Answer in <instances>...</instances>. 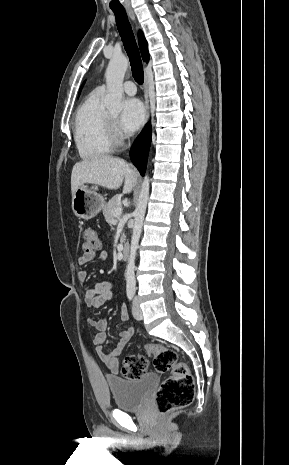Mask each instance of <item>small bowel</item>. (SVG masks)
<instances>
[{
	"mask_svg": "<svg viewBox=\"0 0 289 465\" xmlns=\"http://www.w3.org/2000/svg\"><path fill=\"white\" fill-rule=\"evenodd\" d=\"M97 258L98 262L103 263L107 260L108 254L105 251L99 252L97 255L95 252L84 253L78 259L79 266H85L88 262ZM77 277L80 282L87 280V272L84 269H80L77 273ZM115 283L112 281H101L97 282L93 288L88 289L84 294L85 303L88 307L98 308L104 303L112 299L113 288ZM121 319L123 322L129 321V315L124 306L121 307ZM88 323L93 326L97 333L94 338V343L100 351V356L107 368L113 373H118L119 362L118 356L123 352L125 346L130 341L134 334V328L132 326L121 331L119 333V339L115 347L107 353L102 351L103 343L106 340V331L108 328V321L106 319L89 318Z\"/></svg>",
	"mask_w": 289,
	"mask_h": 465,
	"instance_id": "c3829d8e",
	"label": "small bowel"
}]
</instances>
